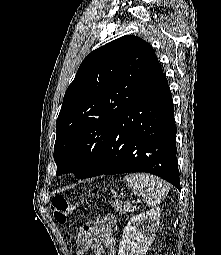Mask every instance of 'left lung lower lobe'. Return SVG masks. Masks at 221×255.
I'll return each mask as SVG.
<instances>
[{
    "label": "left lung lower lobe",
    "mask_w": 221,
    "mask_h": 255,
    "mask_svg": "<svg viewBox=\"0 0 221 255\" xmlns=\"http://www.w3.org/2000/svg\"><path fill=\"white\" fill-rule=\"evenodd\" d=\"M172 96L162 72L115 121L106 144L80 179L147 172L180 190Z\"/></svg>",
    "instance_id": "obj_1"
}]
</instances>
